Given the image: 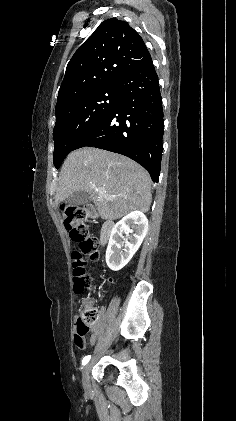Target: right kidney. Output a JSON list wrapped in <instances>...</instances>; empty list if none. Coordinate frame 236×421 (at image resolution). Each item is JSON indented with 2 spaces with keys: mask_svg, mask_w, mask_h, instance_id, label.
I'll use <instances>...</instances> for the list:
<instances>
[{
  "mask_svg": "<svg viewBox=\"0 0 236 421\" xmlns=\"http://www.w3.org/2000/svg\"><path fill=\"white\" fill-rule=\"evenodd\" d=\"M148 231V219L141 211H132L113 227L106 251V263L111 271H120L138 251ZM122 233H132L129 241ZM124 247V249H122Z\"/></svg>",
  "mask_w": 236,
  "mask_h": 421,
  "instance_id": "obj_1",
  "label": "right kidney"
}]
</instances>
